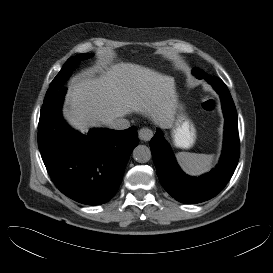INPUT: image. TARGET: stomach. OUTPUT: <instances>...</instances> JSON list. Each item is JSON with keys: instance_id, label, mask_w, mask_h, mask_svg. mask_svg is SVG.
<instances>
[{"instance_id": "obj_1", "label": "stomach", "mask_w": 273, "mask_h": 273, "mask_svg": "<svg viewBox=\"0 0 273 273\" xmlns=\"http://www.w3.org/2000/svg\"><path fill=\"white\" fill-rule=\"evenodd\" d=\"M175 124L172 131L174 144L179 148H190L195 141V127L187 115L183 112V106L175 102Z\"/></svg>"}]
</instances>
